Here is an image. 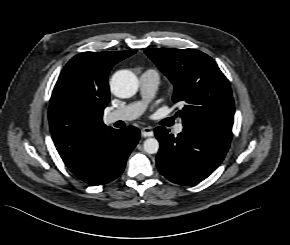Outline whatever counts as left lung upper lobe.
<instances>
[{"mask_svg": "<svg viewBox=\"0 0 290 245\" xmlns=\"http://www.w3.org/2000/svg\"><path fill=\"white\" fill-rule=\"evenodd\" d=\"M148 57L170 79L183 125H198L231 138L234 100L230 84L207 54L195 49H148Z\"/></svg>", "mask_w": 290, "mask_h": 245, "instance_id": "5c2ea615", "label": "left lung upper lobe"}]
</instances>
